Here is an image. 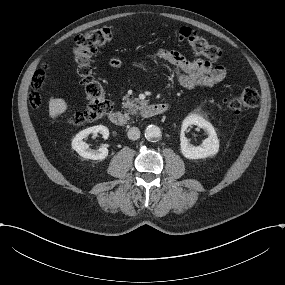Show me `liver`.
<instances>
[{
    "label": "liver",
    "instance_id": "6515ba94",
    "mask_svg": "<svg viewBox=\"0 0 285 285\" xmlns=\"http://www.w3.org/2000/svg\"><path fill=\"white\" fill-rule=\"evenodd\" d=\"M67 109V103L61 98H50L49 101V115L51 118H56L58 115L64 113Z\"/></svg>",
    "mask_w": 285,
    "mask_h": 285
}]
</instances>
